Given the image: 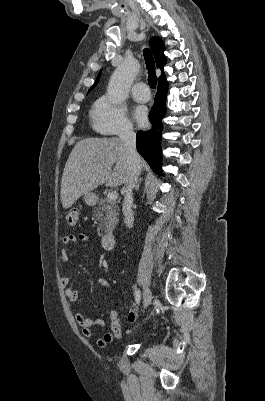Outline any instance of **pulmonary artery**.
<instances>
[{
    "label": "pulmonary artery",
    "mask_w": 265,
    "mask_h": 401,
    "mask_svg": "<svg viewBox=\"0 0 265 401\" xmlns=\"http://www.w3.org/2000/svg\"><path fill=\"white\" fill-rule=\"evenodd\" d=\"M131 96L138 102H148L151 99V94L148 93V82L137 81L135 91L132 92Z\"/></svg>",
    "instance_id": "e3ab8cb5"
}]
</instances>
